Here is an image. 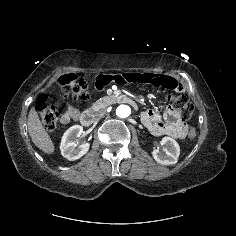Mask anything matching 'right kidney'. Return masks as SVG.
<instances>
[{
	"mask_svg": "<svg viewBox=\"0 0 236 236\" xmlns=\"http://www.w3.org/2000/svg\"><path fill=\"white\" fill-rule=\"evenodd\" d=\"M83 132V127L80 125H74L70 127L63 134L60 144L61 154L66 159L73 161L81 158L85 155L90 147L89 143L77 145L75 142L77 137H80Z\"/></svg>",
	"mask_w": 236,
	"mask_h": 236,
	"instance_id": "ca27d5eb",
	"label": "right kidney"
}]
</instances>
